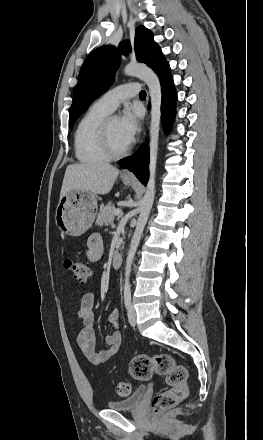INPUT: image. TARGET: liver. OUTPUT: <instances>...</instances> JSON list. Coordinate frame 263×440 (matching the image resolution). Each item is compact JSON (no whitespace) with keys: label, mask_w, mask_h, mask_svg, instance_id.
<instances>
[{"label":"liver","mask_w":263,"mask_h":440,"mask_svg":"<svg viewBox=\"0 0 263 440\" xmlns=\"http://www.w3.org/2000/svg\"><path fill=\"white\" fill-rule=\"evenodd\" d=\"M118 175L119 170L105 162L68 165L60 197L71 190H82L101 195L108 194Z\"/></svg>","instance_id":"liver-1"}]
</instances>
